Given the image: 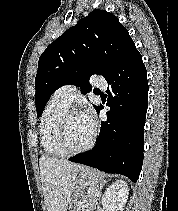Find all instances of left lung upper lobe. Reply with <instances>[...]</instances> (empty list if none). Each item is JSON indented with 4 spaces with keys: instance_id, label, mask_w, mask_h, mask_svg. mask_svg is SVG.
I'll return each instance as SVG.
<instances>
[{
    "instance_id": "obj_1",
    "label": "left lung upper lobe",
    "mask_w": 178,
    "mask_h": 211,
    "mask_svg": "<svg viewBox=\"0 0 178 211\" xmlns=\"http://www.w3.org/2000/svg\"><path fill=\"white\" fill-rule=\"evenodd\" d=\"M135 46L118 18L105 10H93L69 28L41 54L35 78L37 117L52 93L63 85H79L90 91L89 77H107ZM97 109V106H94Z\"/></svg>"
}]
</instances>
